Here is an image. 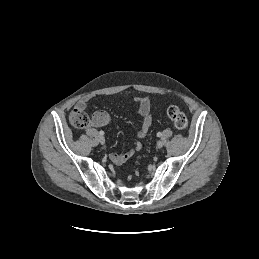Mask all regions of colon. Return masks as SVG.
<instances>
[{
	"label": "colon",
	"mask_w": 259,
	"mask_h": 259,
	"mask_svg": "<svg viewBox=\"0 0 259 259\" xmlns=\"http://www.w3.org/2000/svg\"><path fill=\"white\" fill-rule=\"evenodd\" d=\"M167 115L177 129L185 130L187 128V117L178 107L170 106L167 109ZM70 121L74 127L83 129L89 125L90 118L84 110L76 108L70 115Z\"/></svg>",
	"instance_id": "colon-1"
}]
</instances>
